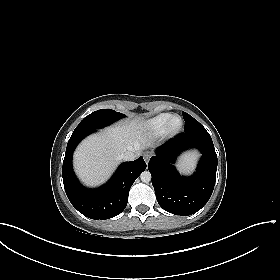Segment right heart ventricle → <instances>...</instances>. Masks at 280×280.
<instances>
[{"label": "right heart ventricle", "instance_id": "1", "mask_svg": "<svg viewBox=\"0 0 280 280\" xmlns=\"http://www.w3.org/2000/svg\"><path fill=\"white\" fill-rule=\"evenodd\" d=\"M171 116L172 115L169 113L158 114L143 122L141 125V130L145 134L151 136L162 135L164 132L165 125Z\"/></svg>", "mask_w": 280, "mask_h": 280}]
</instances>
